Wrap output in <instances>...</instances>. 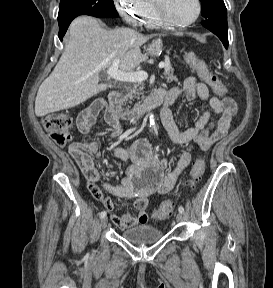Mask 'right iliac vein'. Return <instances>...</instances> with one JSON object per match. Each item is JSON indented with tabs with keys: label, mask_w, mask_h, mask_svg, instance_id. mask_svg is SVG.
<instances>
[{
	"label": "right iliac vein",
	"mask_w": 273,
	"mask_h": 288,
	"mask_svg": "<svg viewBox=\"0 0 273 288\" xmlns=\"http://www.w3.org/2000/svg\"><path fill=\"white\" fill-rule=\"evenodd\" d=\"M107 226V218H103L101 221V228L104 229Z\"/></svg>",
	"instance_id": "1"
}]
</instances>
